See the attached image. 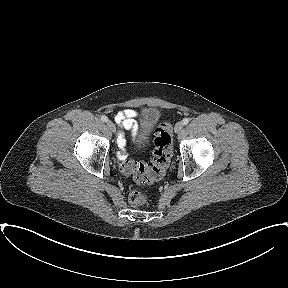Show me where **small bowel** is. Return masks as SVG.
<instances>
[{"label":"small bowel","instance_id":"1","mask_svg":"<svg viewBox=\"0 0 288 288\" xmlns=\"http://www.w3.org/2000/svg\"><path fill=\"white\" fill-rule=\"evenodd\" d=\"M138 115L139 113L135 109H125L117 113L115 116V121L119 125V127L123 130H129L133 139L136 137L138 131V125L136 122V118L138 117ZM118 144L121 148H123L126 144L123 133H120L118 136ZM118 157L120 159L125 158V152L121 150L118 153Z\"/></svg>","mask_w":288,"mask_h":288}]
</instances>
